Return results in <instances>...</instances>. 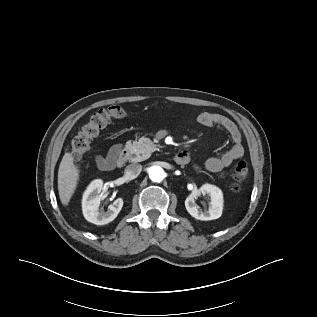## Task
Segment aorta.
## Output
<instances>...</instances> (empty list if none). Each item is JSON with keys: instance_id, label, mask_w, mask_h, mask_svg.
Segmentation results:
<instances>
[{"instance_id": "1", "label": "aorta", "mask_w": 317, "mask_h": 317, "mask_svg": "<svg viewBox=\"0 0 317 317\" xmlns=\"http://www.w3.org/2000/svg\"><path fill=\"white\" fill-rule=\"evenodd\" d=\"M165 177V172L160 166H152L149 169V178L153 182H161Z\"/></svg>"}]
</instances>
